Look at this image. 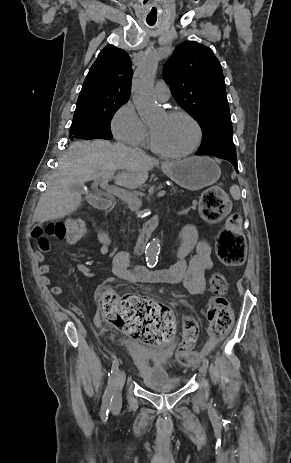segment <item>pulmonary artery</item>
Listing matches in <instances>:
<instances>
[{
  "instance_id": "e3ab8cb5",
  "label": "pulmonary artery",
  "mask_w": 291,
  "mask_h": 463,
  "mask_svg": "<svg viewBox=\"0 0 291 463\" xmlns=\"http://www.w3.org/2000/svg\"><path fill=\"white\" fill-rule=\"evenodd\" d=\"M154 96L157 100L164 102L170 97V90L168 85L163 81L159 80L154 87Z\"/></svg>"
}]
</instances>
